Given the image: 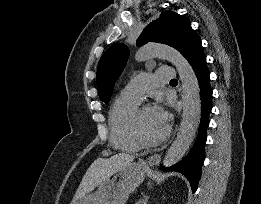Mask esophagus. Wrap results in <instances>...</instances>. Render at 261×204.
Here are the masks:
<instances>
[{"instance_id": "esophagus-1", "label": "esophagus", "mask_w": 261, "mask_h": 204, "mask_svg": "<svg viewBox=\"0 0 261 204\" xmlns=\"http://www.w3.org/2000/svg\"><path fill=\"white\" fill-rule=\"evenodd\" d=\"M160 155L159 154H154L152 156H150L146 161H144L142 163L143 166L147 167V166H153L156 165L160 162Z\"/></svg>"}]
</instances>
